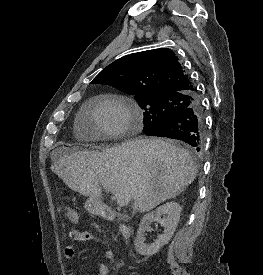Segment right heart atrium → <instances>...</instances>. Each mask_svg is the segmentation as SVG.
<instances>
[{"label": "right heart atrium", "instance_id": "d8ad5b80", "mask_svg": "<svg viewBox=\"0 0 263 275\" xmlns=\"http://www.w3.org/2000/svg\"><path fill=\"white\" fill-rule=\"evenodd\" d=\"M94 117L105 137L118 136L132 128V111L117 98H107L98 103L94 109Z\"/></svg>", "mask_w": 263, "mask_h": 275}]
</instances>
